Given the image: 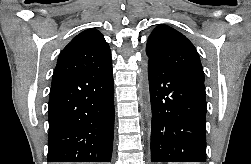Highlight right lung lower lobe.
<instances>
[{
    "mask_svg": "<svg viewBox=\"0 0 251 164\" xmlns=\"http://www.w3.org/2000/svg\"><path fill=\"white\" fill-rule=\"evenodd\" d=\"M48 162H110L114 131L112 64L52 84Z\"/></svg>",
    "mask_w": 251,
    "mask_h": 164,
    "instance_id": "98d812e1",
    "label": "right lung lower lobe"
}]
</instances>
